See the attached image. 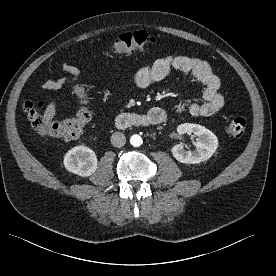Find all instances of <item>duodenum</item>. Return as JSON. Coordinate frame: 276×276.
Wrapping results in <instances>:
<instances>
[{"label":"duodenum","instance_id":"1","mask_svg":"<svg viewBox=\"0 0 276 276\" xmlns=\"http://www.w3.org/2000/svg\"><path fill=\"white\" fill-rule=\"evenodd\" d=\"M165 113L159 110L154 115L139 113H122L116 118V125L119 128L127 129L132 127H147L150 125H158L164 122Z\"/></svg>","mask_w":276,"mask_h":276}]
</instances>
